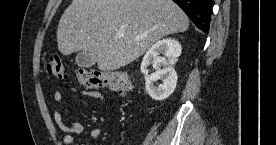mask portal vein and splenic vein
<instances>
[{
	"mask_svg": "<svg viewBox=\"0 0 276 145\" xmlns=\"http://www.w3.org/2000/svg\"><path fill=\"white\" fill-rule=\"evenodd\" d=\"M116 35L118 37H121V36H123V32L122 31H117ZM137 39H139V37H137Z\"/></svg>",
	"mask_w": 276,
	"mask_h": 145,
	"instance_id": "obj_1",
	"label": "portal vein and splenic vein"
}]
</instances>
